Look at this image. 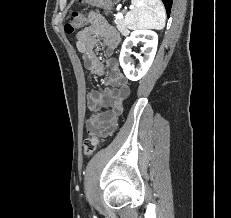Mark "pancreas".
<instances>
[{"label": "pancreas", "instance_id": "cf45deb5", "mask_svg": "<svg viewBox=\"0 0 231 218\" xmlns=\"http://www.w3.org/2000/svg\"><path fill=\"white\" fill-rule=\"evenodd\" d=\"M115 24L117 26V29L121 32L122 35L126 36L128 35L129 31L124 23V20L121 19H115Z\"/></svg>", "mask_w": 231, "mask_h": 218}]
</instances>
